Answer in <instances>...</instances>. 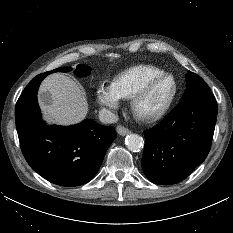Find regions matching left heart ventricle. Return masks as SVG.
I'll list each match as a JSON object with an SVG mask.
<instances>
[{"label": "left heart ventricle", "mask_w": 233, "mask_h": 233, "mask_svg": "<svg viewBox=\"0 0 233 233\" xmlns=\"http://www.w3.org/2000/svg\"><path fill=\"white\" fill-rule=\"evenodd\" d=\"M172 81L165 79L158 83L150 94L141 103L144 112H154L166 102L172 92Z\"/></svg>", "instance_id": "1"}]
</instances>
